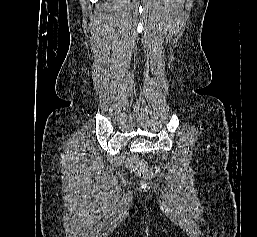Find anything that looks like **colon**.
Masks as SVG:
<instances>
[{"label": "colon", "instance_id": "1", "mask_svg": "<svg viewBox=\"0 0 257 237\" xmlns=\"http://www.w3.org/2000/svg\"><path fill=\"white\" fill-rule=\"evenodd\" d=\"M135 170L139 177L147 178L154 174V170L149 168L144 162L136 161L135 162Z\"/></svg>", "mask_w": 257, "mask_h": 237}]
</instances>
